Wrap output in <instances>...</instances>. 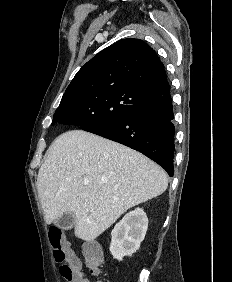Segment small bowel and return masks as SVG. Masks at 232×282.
Wrapping results in <instances>:
<instances>
[{"instance_id": "small-bowel-1", "label": "small bowel", "mask_w": 232, "mask_h": 282, "mask_svg": "<svg viewBox=\"0 0 232 282\" xmlns=\"http://www.w3.org/2000/svg\"><path fill=\"white\" fill-rule=\"evenodd\" d=\"M71 254L77 259L78 262H80L78 260V258L73 253H71ZM79 282H90V281L87 278H85L83 273H82L81 281H79Z\"/></svg>"}]
</instances>
